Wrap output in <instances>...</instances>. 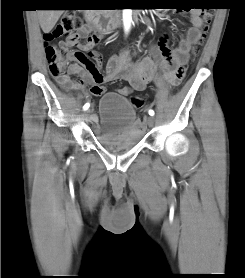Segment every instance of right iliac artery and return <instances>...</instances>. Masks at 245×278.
Listing matches in <instances>:
<instances>
[{"label":"right iliac artery","mask_w":245,"mask_h":278,"mask_svg":"<svg viewBox=\"0 0 245 278\" xmlns=\"http://www.w3.org/2000/svg\"><path fill=\"white\" fill-rule=\"evenodd\" d=\"M90 104L89 103H86L83 107L84 110H87L89 108Z\"/></svg>","instance_id":"82829eb1"}]
</instances>
